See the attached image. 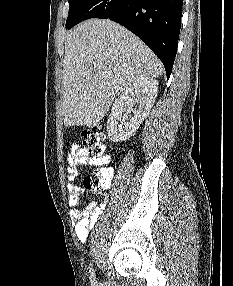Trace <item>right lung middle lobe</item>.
I'll return each mask as SVG.
<instances>
[{
	"instance_id": "right-lung-middle-lobe-1",
	"label": "right lung middle lobe",
	"mask_w": 233,
	"mask_h": 286,
	"mask_svg": "<svg viewBox=\"0 0 233 286\" xmlns=\"http://www.w3.org/2000/svg\"><path fill=\"white\" fill-rule=\"evenodd\" d=\"M91 0H68L69 2V15L66 20V28H71L77 20L81 12L89 4Z\"/></svg>"
}]
</instances>
